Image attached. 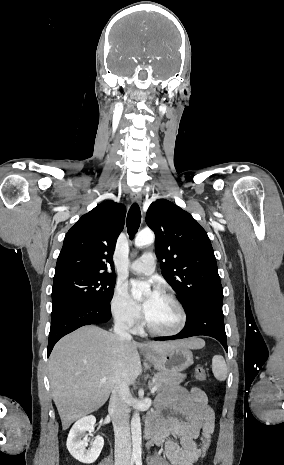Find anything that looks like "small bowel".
Wrapping results in <instances>:
<instances>
[{
	"label": "small bowel",
	"instance_id": "c3829d8e",
	"mask_svg": "<svg viewBox=\"0 0 284 465\" xmlns=\"http://www.w3.org/2000/svg\"><path fill=\"white\" fill-rule=\"evenodd\" d=\"M162 406L146 426L149 445L161 447L171 465H193L201 456L196 440L211 439L215 416L198 387L176 386L160 397Z\"/></svg>",
	"mask_w": 284,
	"mask_h": 465
}]
</instances>
